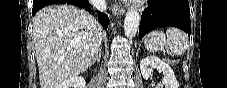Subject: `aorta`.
I'll return each instance as SVG.
<instances>
[{
	"mask_svg": "<svg viewBox=\"0 0 227 88\" xmlns=\"http://www.w3.org/2000/svg\"><path fill=\"white\" fill-rule=\"evenodd\" d=\"M140 25V15L137 9L131 8L124 20V31L128 38H132L137 33Z\"/></svg>",
	"mask_w": 227,
	"mask_h": 88,
	"instance_id": "762f6f07",
	"label": "aorta"
}]
</instances>
